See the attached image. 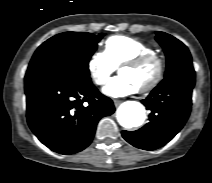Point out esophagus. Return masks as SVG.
Instances as JSON below:
<instances>
[{
  "instance_id": "obj_1",
  "label": "esophagus",
  "mask_w": 212,
  "mask_h": 183,
  "mask_svg": "<svg viewBox=\"0 0 212 183\" xmlns=\"http://www.w3.org/2000/svg\"><path fill=\"white\" fill-rule=\"evenodd\" d=\"M113 102H114V105H115L116 107L119 106V105L121 104V100H118V99H114Z\"/></svg>"
}]
</instances>
